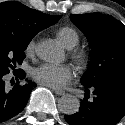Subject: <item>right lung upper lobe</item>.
Wrapping results in <instances>:
<instances>
[{
	"label": "right lung upper lobe",
	"mask_w": 125,
	"mask_h": 125,
	"mask_svg": "<svg viewBox=\"0 0 125 125\" xmlns=\"http://www.w3.org/2000/svg\"><path fill=\"white\" fill-rule=\"evenodd\" d=\"M56 17L16 1L0 3V31L13 36L32 39L41 30L55 24Z\"/></svg>",
	"instance_id": "right-lung-upper-lobe-1"
}]
</instances>
